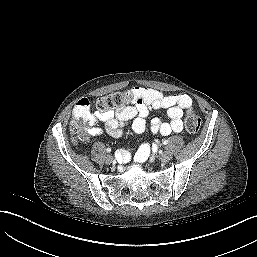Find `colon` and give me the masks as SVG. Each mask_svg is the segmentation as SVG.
<instances>
[{"label":"colon","instance_id":"colon-1","mask_svg":"<svg viewBox=\"0 0 257 257\" xmlns=\"http://www.w3.org/2000/svg\"><path fill=\"white\" fill-rule=\"evenodd\" d=\"M134 96L129 92H115L103 97L98 98L94 105L100 112H111L116 109L122 108L127 103L133 101ZM92 123V117L90 112V103L87 99H80L77 101L74 107V117L70 122V131L76 138L84 129L85 126ZM201 117L194 109H189L185 117V129L186 132L194 136L201 127Z\"/></svg>","mask_w":257,"mask_h":257}]
</instances>
